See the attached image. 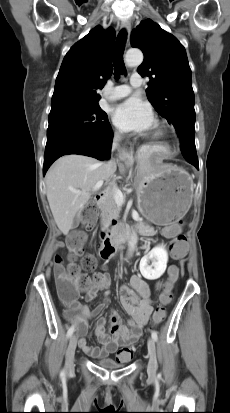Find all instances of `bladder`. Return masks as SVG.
<instances>
[{
  "label": "bladder",
  "instance_id": "obj_1",
  "mask_svg": "<svg viewBox=\"0 0 230 413\" xmlns=\"http://www.w3.org/2000/svg\"><path fill=\"white\" fill-rule=\"evenodd\" d=\"M97 364L105 369H119L123 367L122 364L115 362L112 359L109 358H101L97 361Z\"/></svg>",
  "mask_w": 230,
  "mask_h": 413
}]
</instances>
